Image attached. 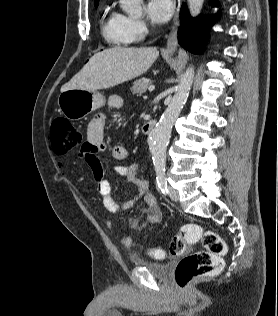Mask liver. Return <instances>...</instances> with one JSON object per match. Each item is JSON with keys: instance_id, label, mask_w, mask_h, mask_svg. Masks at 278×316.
<instances>
[{"instance_id": "obj_1", "label": "liver", "mask_w": 278, "mask_h": 316, "mask_svg": "<svg viewBox=\"0 0 278 316\" xmlns=\"http://www.w3.org/2000/svg\"><path fill=\"white\" fill-rule=\"evenodd\" d=\"M158 56L155 47L106 49L94 54L61 88V92L69 89L96 91L114 87L145 73Z\"/></svg>"}]
</instances>
